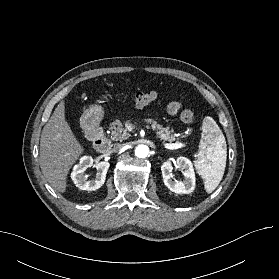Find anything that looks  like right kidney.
<instances>
[{"instance_id": "right-kidney-1", "label": "right kidney", "mask_w": 279, "mask_h": 279, "mask_svg": "<svg viewBox=\"0 0 279 279\" xmlns=\"http://www.w3.org/2000/svg\"><path fill=\"white\" fill-rule=\"evenodd\" d=\"M93 158L91 156H83L78 164L73 167L71 179L80 190L95 191L99 189L105 182L109 162L102 161L95 165L97 174L95 180H88L85 171L88 167L93 166Z\"/></svg>"}]
</instances>
